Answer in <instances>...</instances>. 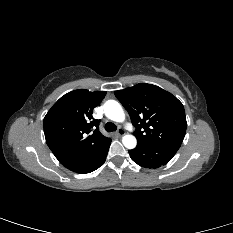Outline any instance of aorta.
Returning a JSON list of instances; mask_svg holds the SVG:
<instances>
[{
    "label": "aorta",
    "instance_id": "1",
    "mask_svg": "<svg viewBox=\"0 0 233 233\" xmlns=\"http://www.w3.org/2000/svg\"><path fill=\"white\" fill-rule=\"evenodd\" d=\"M105 116L115 122H123L125 120V113L121 105L115 100H108L103 106ZM122 143L127 149H134L137 145L135 136L127 134L123 136Z\"/></svg>",
    "mask_w": 233,
    "mask_h": 233
}]
</instances>
